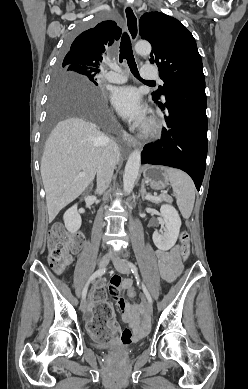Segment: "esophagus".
<instances>
[{"mask_svg": "<svg viewBox=\"0 0 248 389\" xmlns=\"http://www.w3.org/2000/svg\"><path fill=\"white\" fill-rule=\"evenodd\" d=\"M124 15L126 19V28L133 42L138 38V18L131 4H126L124 7ZM124 137L131 147L138 145L137 140L127 132H124Z\"/></svg>", "mask_w": 248, "mask_h": 389, "instance_id": "34e87169", "label": "esophagus"}]
</instances>
